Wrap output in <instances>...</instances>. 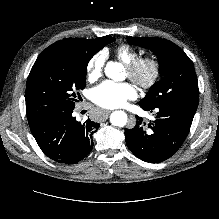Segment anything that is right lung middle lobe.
I'll use <instances>...</instances> for the list:
<instances>
[{
  "label": "right lung middle lobe",
  "mask_w": 219,
  "mask_h": 219,
  "mask_svg": "<svg viewBox=\"0 0 219 219\" xmlns=\"http://www.w3.org/2000/svg\"><path fill=\"white\" fill-rule=\"evenodd\" d=\"M94 54L81 46L56 42L39 55L25 92L29 123L74 109L77 92L86 86L87 65Z\"/></svg>",
  "instance_id": "right-lung-middle-lobe-1"
}]
</instances>
